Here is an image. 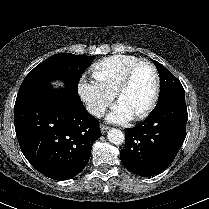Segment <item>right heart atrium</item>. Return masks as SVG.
I'll use <instances>...</instances> for the list:
<instances>
[{"label": "right heart atrium", "mask_w": 209, "mask_h": 209, "mask_svg": "<svg viewBox=\"0 0 209 209\" xmlns=\"http://www.w3.org/2000/svg\"><path fill=\"white\" fill-rule=\"evenodd\" d=\"M78 89L88 111L94 116H100L114 99V93L96 79L83 76Z\"/></svg>", "instance_id": "right-heart-atrium-1"}]
</instances>
